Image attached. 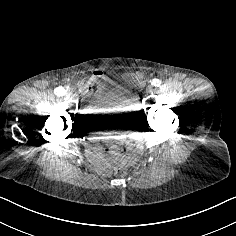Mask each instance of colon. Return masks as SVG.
I'll list each match as a JSON object with an SVG mask.
<instances>
[{
	"label": "colon",
	"instance_id": "1",
	"mask_svg": "<svg viewBox=\"0 0 236 236\" xmlns=\"http://www.w3.org/2000/svg\"><path fill=\"white\" fill-rule=\"evenodd\" d=\"M114 172L116 174V176L118 177H123L126 175L127 173V167L123 164L121 165H118L115 169H114Z\"/></svg>",
	"mask_w": 236,
	"mask_h": 236
}]
</instances>
